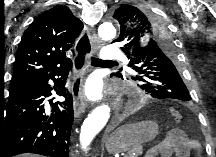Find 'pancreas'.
I'll return each mask as SVG.
<instances>
[{
  "instance_id": "1",
  "label": "pancreas",
  "mask_w": 216,
  "mask_h": 157,
  "mask_svg": "<svg viewBox=\"0 0 216 157\" xmlns=\"http://www.w3.org/2000/svg\"><path fill=\"white\" fill-rule=\"evenodd\" d=\"M140 155H142V149L140 147H137L129 151L127 157H140Z\"/></svg>"
}]
</instances>
